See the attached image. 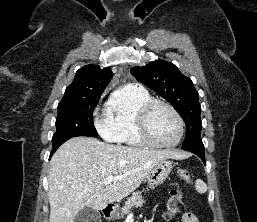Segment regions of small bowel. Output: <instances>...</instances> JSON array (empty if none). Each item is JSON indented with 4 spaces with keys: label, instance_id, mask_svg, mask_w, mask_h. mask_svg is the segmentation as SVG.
Instances as JSON below:
<instances>
[{
    "label": "small bowel",
    "instance_id": "small-bowel-1",
    "mask_svg": "<svg viewBox=\"0 0 257 222\" xmlns=\"http://www.w3.org/2000/svg\"><path fill=\"white\" fill-rule=\"evenodd\" d=\"M181 222H199V220L193 213L185 212L182 215Z\"/></svg>",
    "mask_w": 257,
    "mask_h": 222
}]
</instances>
